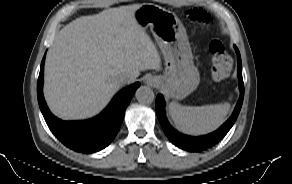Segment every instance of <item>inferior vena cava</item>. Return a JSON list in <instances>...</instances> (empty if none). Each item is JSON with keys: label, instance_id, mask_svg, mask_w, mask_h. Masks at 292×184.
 <instances>
[{"label": "inferior vena cava", "instance_id": "obj_1", "mask_svg": "<svg viewBox=\"0 0 292 184\" xmlns=\"http://www.w3.org/2000/svg\"><path fill=\"white\" fill-rule=\"evenodd\" d=\"M131 82V79L126 77V76H120L118 77L117 79V83L122 86V85H125L126 83H130Z\"/></svg>", "mask_w": 292, "mask_h": 184}]
</instances>
